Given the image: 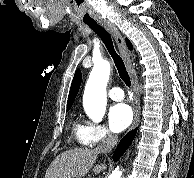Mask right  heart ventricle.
Masks as SVG:
<instances>
[{"mask_svg": "<svg viewBox=\"0 0 194 178\" xmlns=\"http://www.w3.org/2000/svg\"><path fill=\"white\" fill-rule=\"evenodd\" d=\"M72 131L79 143H82V137L84 132V125H82L78 119H75L72 123ZM83 144V143H82Z\"/></svg>", "mask_w": 194, "mask_h": 178, "instance_id": "obj_1", "label": "right heart ventricle"}]
</instances>
